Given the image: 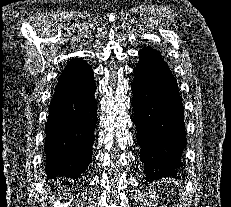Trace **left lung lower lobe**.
<instances>
[{
    "mask_svg": "<svg viewBox=\"0 0 231 207\" xmlns=\"http://www.w3.org/2000/svg\"><path fill=\"white\" fill-rule=\"evenodd\" d=\"M138 54L132 105L140 159L150 181L176 176L187 144L182 97L160 52L145 47Z\"/></svg>",
    "mask_w": 231,
    "mask_h": 207,
    "instance_id": "0a47b994",
    "label": "left lung lower lobe"
}]
</instances>
